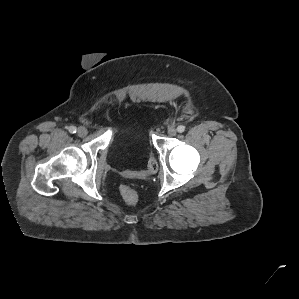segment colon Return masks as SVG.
I'll return each instance as SVG.
<instances>
[{
  "label": "colon",
  "mask_w": 299,
  "mask_h": 299,
  "mask_svg": "<svg viewBox=\"0 0 299 299\" xmlns=\"http://www.w3.org/2000/svg\"><path fill=\"white\" fill-rule=\"evenodd\" d=\"M156 170L157 161L155 160V158H151L148 163V169L146 171L131 172L128 173V176L132 178H144L152 173H155ZM121 196L128 205H134L138 200V195L136 191L130 186H122Z\"/></svg>",
  "instance_id": "1"
}]
</instances>
